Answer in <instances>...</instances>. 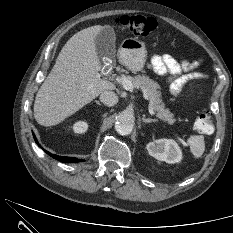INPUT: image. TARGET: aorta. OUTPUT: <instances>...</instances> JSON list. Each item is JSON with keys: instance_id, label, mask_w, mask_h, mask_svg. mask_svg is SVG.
I'll return each mask as SVG.
<instances>
[{"instance_id": "1", "label": "aorta", "mask_w": 233, "mask_h": 233, "mask_svg": "<svg viewBox=\"0 0 233 233\" xmlns=\"http://www.w3.org/2000/svg\"><path fill=\"white\" fill-rule=\"evenodd\" d=\"M134 116L130 111H122L116 117L115 129L120 135H129L133 130Z\"/></svg>"}]
</instances>
